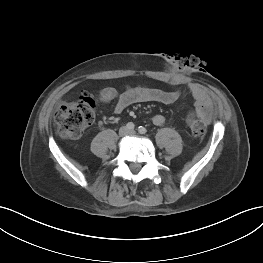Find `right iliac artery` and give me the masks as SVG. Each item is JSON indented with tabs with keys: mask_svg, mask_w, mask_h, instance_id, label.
Instances as JSON below:
<instances>
[{
	"mask_svg": "<svg viewBox=\"0 0 263 263\" xmlns=\"http://www.w3.org/2000/svg\"><path fill=\"white\" fill-rule=\"evenodd\" d=\"M126 127H127V129H129V130H133V129L135 128V125H134V123L129 122V123H127Z\"/></svg>",
	"mask_w": 263,
	"mask_h": 263,
	"instance_id": "right-iliac-artery-1",
	"label": "right iliac artery"
}]
</instances>
